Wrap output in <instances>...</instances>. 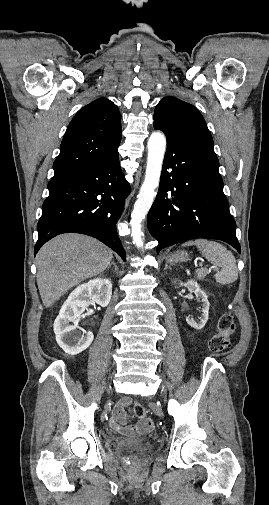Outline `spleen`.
<instances>
[{
	"mask_svg": "<svg viewBox=\"0 0 269 505\" xmlns=\"http://www.w3.org/2000/svg\"><path fill=\"white\" fill-rule=\"evenodd\" d=\"M195 245L201 254L213 265L221 268L215 274L216 282L220 284H230L238 279V269L236 260L231 251L222 244L207 239H196L187 241L182 247Z\"/></svg>",
	"mask_w": 269,
	"mask_h": 505,
	"instance_id": "1",
	"label": "spleen"
}]
</instances>
